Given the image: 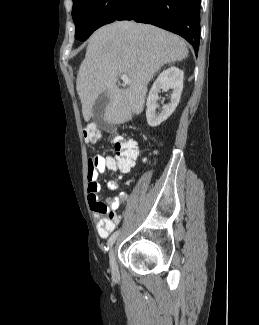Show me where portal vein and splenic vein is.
<instances>
[{
	"label": "portal vein and splenic vein",
	"instance_id": "18ae733b",
	"mask_svg": "<svg viewBox=\"0 0 259 325\" xmlns=\"http://www.w3.org/2000/svg\"><path fill=\"white\" fill-rule=\"evenodd\" d=\"M120 78L126 84H129L131 82V80L129 79V77L127 75H125V74L121 75Z\"/></svg>",
	"mask_w": 259,
	"mask_h": 325
}]
</instances>
